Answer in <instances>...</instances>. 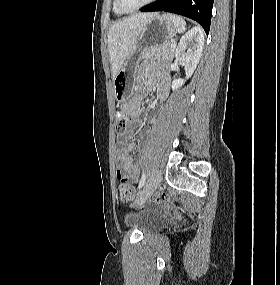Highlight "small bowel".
<instances>
[{"label":"small bowel","mask_w":280,"mask_h":285,"mask_svg":"<svg viewBox=\"0 0 280 285\" xmlns=\"http://www.w3.org/2000/svg\"><path fill=\"white\" fill-rule=\"evenodd\" d=\"M143 81L147 83L149 87H152L156 82L158 85V97L160 100H164L168 94L170 85V76L168 73H163L158 76L157 81L148 80L143 78ZM141 95L135 96L128 103L124 105V110L137 115L140 110ZM120 147L117 150V176L120 180H137L139 176V168L133 161L130 154L135 150L136 144L133 141H129L128 138L123 135L118 141Z\"/></svg>","instance_id":"c3829d8e"}]
</instances>
